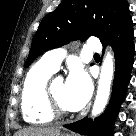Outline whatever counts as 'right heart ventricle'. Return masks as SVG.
I'll return each mask as SVG.
<instances>
[{
  "mask_svg": "<svg viewBox=\"0 0 136 136\" xmlns=\"http://www.w3.org/2000/svg\"><path fill=\"white\" fill-rule=\"evenodd\" d=\"M53 73L42 61L28 71L21 92V110L26 122L45 124L53 120L45 97V88Z\"/></svg>",
  "mask_w": 136,
  "mask_h": 136,
  "instance_id": "e07e8e85",
  "label": "right heart ventricle"
}]
</instances>
